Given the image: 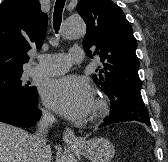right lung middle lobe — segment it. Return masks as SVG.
<instances>
[{
    "instance_id": "right-lung-middle-lobe-1",
    "label": "right lung middle lobe",
    "mask_w": 168,
    "mask_h": 162,
    "mask_svg": "<svg viewBox=\"0 0 168 162\" xmlns=\"http://www.w3.org/2000/svg\"><path fill=\"white\" fill-rule=\"evenodd\" d=\"M22 72L0 75V97H13L20 100H30L37 93L36 87H29L22 82Z\"/></svg>"
}]
</instances>
